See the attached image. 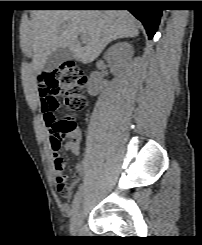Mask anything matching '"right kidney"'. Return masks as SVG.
Returning <instances> with one entry per match:
<instances>
[{
	"label": "right kidney",
	"instance_id": "right-kidney-1",
	"mask_svg": "<svg viewBox=\"0 0 202 245\" xmlns=\"http://www.w3.org/2000/svg\"><path fill=\"white\" fill-rule=\"evenodd\" d=\"M133 54V46L131 44L128 42H118L106 51L104 58L109 62L111 69L118 73L129 64ZM102 87L103 80L100 74L97 71L92 72L88 81V93L96 96Z\"/></svg>",
	"mask_w": 202,
	"mask_h": 245
}]
</instances>
